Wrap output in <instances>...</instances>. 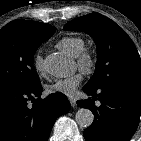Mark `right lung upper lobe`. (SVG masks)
Segmentation results:
<instances>
[{
    "mask_svg": "<svg viewBox=\"0 0 141 141\" xmlns=\"http://www.w3.org/2000/svg\"><path fill=\"white\" fill-rule=\"evenodd\" d=\"M24 21L33 25V26H36V27H40L43 29H52V27L50 25H46V24H42V23H38V22H34V21H26V20H24Z\"/></svg>",
    "mask_w": 141,
    "mask_h": 141,
    "instance_id": "cb5924a9",
    "label": "right lung upper lobe"
}]
</instances>
